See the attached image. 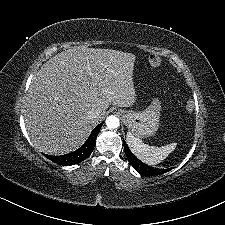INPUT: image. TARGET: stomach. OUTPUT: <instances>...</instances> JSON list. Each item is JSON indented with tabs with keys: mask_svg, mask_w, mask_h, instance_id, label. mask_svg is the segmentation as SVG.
<instances>
[{
	"mask_svg": "<svg viewBox=\"0 0 225 225\" xmlns=\"http://www.w3.org/2000/svg\"><path fill=\"white\" fill-rule=\"evenodd\" d=\"M159 104L154 102L143 111L120 110L124 124L137 138L152 136L159 127Z\"/></svg>",
	"mask_w": 225,
	"mask_h": 225,
	"instance_id": "0dacf381",
	"label": "stomach"
}]
</instances>
